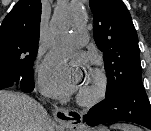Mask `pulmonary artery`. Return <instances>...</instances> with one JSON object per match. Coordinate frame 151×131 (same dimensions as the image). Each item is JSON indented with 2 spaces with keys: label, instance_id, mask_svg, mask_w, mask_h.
<instances>
[{
  "label": "pulmonary artery",
  "instance_id": "1",
  "mask_svg": "<svg viewBox=\"0 0 151 131\" xmlns=\"http://www.w3.org/2000/svg\"><path fill=\"white\" fill-rule=\"evenodd\" d=\"M88 38V33L85 30L80 29L63 37L60 40L59 45L62 47H81L87 44Z\"/></svg>",
  "mask_w": 151,
  "mask_h": 131
}]
</instances>
